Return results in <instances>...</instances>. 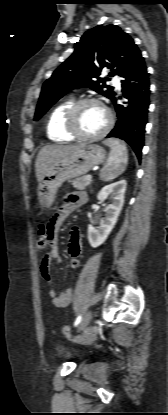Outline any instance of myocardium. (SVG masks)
Wrapping results in <instances>:
<instances>
[{
    "mask_svg": "<svg viewBox=\"0 0 168 415\" xmlns=\"http://www.w3.org/2000/svg\"><path fill=\"white\" fill-rule=\"evenodd\" d=\"M92 103L100 105L105 110L106 115H107V121H106L104 128L100 132L93 134V135H85L82 132H80L78 128V124H77L78 113L83 106L87 104H92ZM112 125H113V115L110 109L103 102H101L100 100L96 98H84V99L74 102L73 105L67 111L66 118H65V128L67 132L74 138L83 140V141H94V140L103 138L110 131Z\"/></svg>",
    "mask_w": 168,
    "mask_h": 415,
    "instance_id": "f54148a6",
    "label": "myocardium"
}]
</instances>
